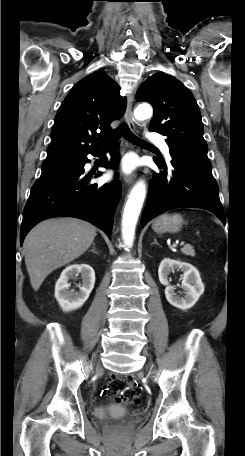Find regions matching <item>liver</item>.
Segmentation results:
<instances>
[{
  "label": "liver",
  "instance_id": "liver-1",
  "mask_svg": "<svg viewBox=\"0 0 245 456\" xmlns=\"http://www.w3.org/2000/svg\"><path fill=\"white\" fill-rule=\"evenodd\" d=\"M96 228L76 218H56L36 225L24 240L25 264L34 291L55 269L81 256L93 243Z\"/></svg>",
  "mask_w": 245,
  "mask_h": 456
}]
</instances>
